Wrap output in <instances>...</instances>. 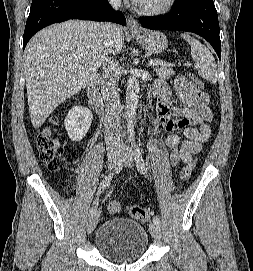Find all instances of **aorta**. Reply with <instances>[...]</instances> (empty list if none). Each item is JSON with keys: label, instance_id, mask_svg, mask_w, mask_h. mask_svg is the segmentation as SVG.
<instances>
[{"label": "aorta", "instance_id": "aorta-1", "mask_svg": "<svg viewBox=\"0 0 253 271\" xmlns=\"http://www.w3.org/2000/svg\"><path fill=\"white\" fill-rule=\"evenodd\" d=\"M139 79L135 73H132L127 81L126 88V116H127V132L130 138H134L135 131V115L137 110V105L139 101Z\"/></svg>", "mask_w": 253, "mask_h": 271}]
</instances>
